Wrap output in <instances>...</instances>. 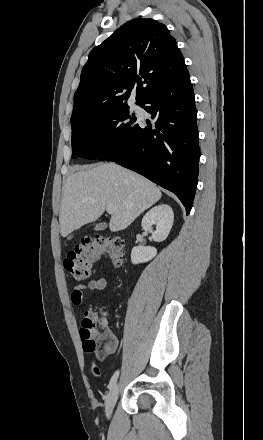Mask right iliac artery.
<instances>
[{
	"label": "right iliac artery",
	"instance_id": "82829eb1",
	"mask_svg": "<svg viewBox=\"0 0 263 440\" xmlns=\"http://www.w3.org/2000/svg\"><path fill=\"white\" fill-rule=\"evenodd\" d=\"M118 376H119V370H117V371L113 374V376H112V378H111V380H110V382H109V385H108V388H109V389H111V388L113 387V385L116 383Z\"/></svg>",
	"mask_w": 263,
	"mask_h": 440
}]
</instances>
